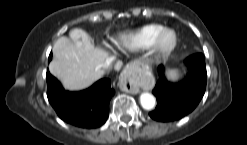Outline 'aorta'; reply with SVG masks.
Listing matches in <instances>:
<instances>
[{
    "label": "aorta",
    "mask_w": 247,
    "mask_h": 145,
    "mask_svg": "<svg viewBox=\"0 0 247 145\" xmlns=\"http://www.w3.org/2000/svg\"><path fill=\"white\" fill-rule=\"evenodd\" d=\"M141 106L146 110H151L155 107L156 99L150 93H142L140 95Z\"/></svg>",
    "instance_id": "obj_1"
}]
</instances>
